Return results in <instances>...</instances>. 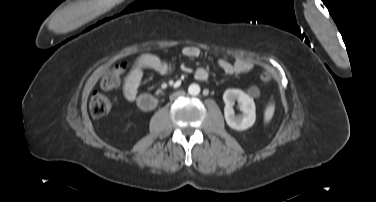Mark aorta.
I'll return each mask as SVG.
<instances>
[{
    "mask_svg": "<svg viewBox=\"0 0 376 202\" xmlns=\"http://www.w3.org/2000/svg\"><path fill=\"white\" fill-rule=\"evenodd\" d=\"M188 93L190 95H198L200 93V87L198 84H191L188 88Z\"/></svg>",
    "mask_w": 376,
    "mask_h": 202,
    "instance_id": "aorta-1",
    "label": "aorta"
}]
</instances>
